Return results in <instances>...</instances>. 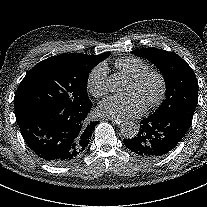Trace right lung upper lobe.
Wrapping results in <instances>:
<instances>
[{"label": "right lung upper lobe", "mask_w": 207, "mask_h": 207, "mask_svg": "<svg viewBox=\"0 0 207 207\" xmlns=\"http://www.w3.org/2000/svg\"><path fill=\"white\" fill-rule=\"evenodd\" d=\"M110 54H111L110 52H106L101 55L93 56V55L74 53V54H62L53 57L70 59L73 62L77 63L78 65L82 67L90 68L92 70L97 64H99L101 61L109 57Z\"/></svg>", "instance_id": "cb5924a9"}]
</instances>
